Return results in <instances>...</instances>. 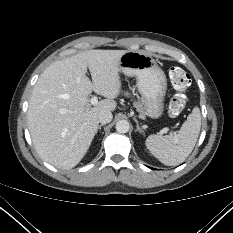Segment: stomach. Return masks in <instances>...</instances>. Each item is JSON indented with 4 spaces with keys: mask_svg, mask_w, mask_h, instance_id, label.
<instances>
[{
    "mask_svg": "<svg viewBox=\"0 0 233 233\" xmlns=\"http://www.w3.org/2000/svg\"><path fill=\"white\" fill-rule=\"evenodd\" d=\"M119 68L126 76L136 77L146 114L153 119L161 117L167 79L153 57L138 51H127L120 58Z\"/></svg>",
    "mask_w": 233,
    "mask_h": 233,
    "instance_id": "0dacf381",
    "label": "stomach"
}]
</instances>
